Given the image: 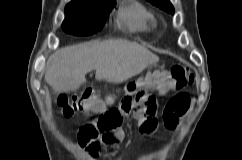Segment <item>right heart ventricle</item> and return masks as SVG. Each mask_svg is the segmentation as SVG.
Masks as SVG:
<instances>
[{"label":"right heart ventricle","mask_w":242,"mask_h":160,"mask_svg":"<svg viewBox=\"0 0 242 160\" xmlns=\"http://www.w3.org/2000/svg\"><path fill=\"white\" fill-rule=\"evenodd\" d=\"M118 21L131 31L150 32L156 26V18L142 3L130 0L118 11Z\"/></svg>","instance_id":"obj_1"}]
</instances>
